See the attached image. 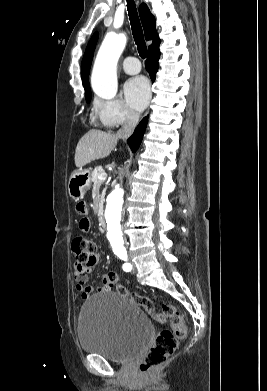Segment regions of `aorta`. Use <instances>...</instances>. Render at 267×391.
I'll return each mask as SVG.
<instances>
[{
  "mask_svg": "<svg viewBox=\"0 0 267 391\" xmlns=\"http://www.w3.org/2000/svg\"><path fill=\"white\" fill-rule=\"evenodd\" d=\"M126 42L127 37L124 33H108L97 53L91 83L95 94L103 99H113L117 94L116 67ZM122 206L123 189L117 186L108 196L105 210L107 234L116 252L124 249L121 227Z\"/></svg>",
  "mask_w": 267,
  "mask_h": 391,
  "instance_id": "obj_1",
  "label": "aorta"
}]
</instances>
